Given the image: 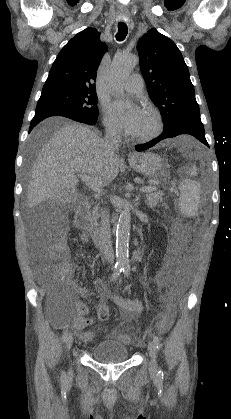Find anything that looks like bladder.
I'll return each instance as SVG.
<instances>
[{
  "mask_svg": "<svg viewBox=\"0 0 231 419\" xmlns=\"http://www.w3.org/2000/svg\"><path fill=\"white\" fill-rule=\"evenodd\" d=\"M128 347L120 340H102L92 351L94 361L104 364L124 362L129 359Z\"/></svg>",
  "mask_w": 231,
  "mask_h": 419,
  "instance_id": "31cf9c89",
  "label": "bladder"
}]
</instances>
